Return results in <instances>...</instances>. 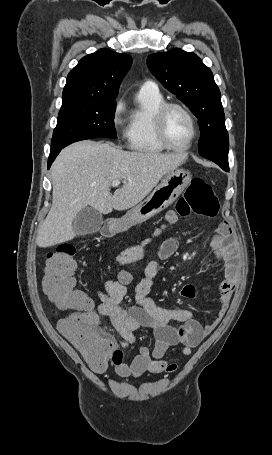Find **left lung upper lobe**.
Listing matches in <instances>:
<instances>
[{"label":"left lung upper lobe","instance_id":"5c2ea615","mask_svg":"<svg viewBox=\"0 0 272 455\" xmlns=\"http://www.w3.org/2000/svg\"><path fill=\"white\" fill-rule=\"evenodd\" d=\"M152 74L198 118L199 153L229 149L221 94L211 70L192 52L172 49L147 58Z\"/></svg>","mask_w":272,"mask_h":455}]
</instances>
